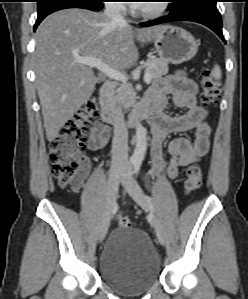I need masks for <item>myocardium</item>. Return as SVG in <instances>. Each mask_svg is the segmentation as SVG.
Returning <instances> with one entry per match:
<instances>
[{
    "instance_id": "myocardium-1",
    "label": "myocardium",
    "mask_w": 248,
    "mask_h": 299,
    "mask_svg": "<svg viewBox=\"0 0 248 299\" xmlns=\"http://www.w3.org/2000/svg\"><path fill=\"white\" fill-rule=\"evenodd\" d=\"M169 8V3L166 0H159L149 6H141L138 9V14L146 19H156L164 15Z\"/></svg>"
}]
</instances>
